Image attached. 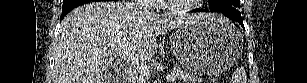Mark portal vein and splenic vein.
Wrapping results in <instances>:
<instances>
[{"instance_id":"18ae733b","label":"portal vein and splenic vein","mask_w":307,"mask_h":83,"mask_svg":"<svg viewBox=\"0 0 307 83\" xmlns=\"http://www.w3.org/2000/svg\"><path fill=\"white\" fill-rule=\"evenodd\" d=\"M115 54L117 56H121L122 58H124L127 62H129L143 76H149L150 75L149 67L146 64L140 62L139 59L132 56V54H130L127 50L117 49V50H115ZM166 79H167V81H174L176 79V76L175 75H169V76L166 77Z\"/></svg>"}]
</instances>
